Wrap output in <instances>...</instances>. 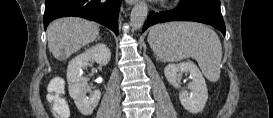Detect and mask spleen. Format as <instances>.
<instances>
[{
  "label": "spleen",
  "mask_w": 273,
  "mask_h": 118,
  "mask_svg": "<svg viewBox=\"0 0 273 118\" xmlns=\"http://www.w3.org/2000/svg\"><path fill=\"white\" fill-rule=\"evenodd\" d=\"M148 42L163 62L191 57L209 81L220 78L222 46L212 29L192 22L158 24L150 29Z\"/></svg>",
  "instance_id": "spleen-1"
}]
</instances>
